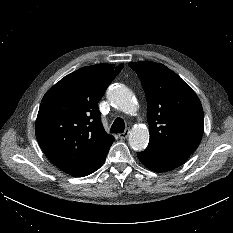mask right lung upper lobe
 <instances>
[{
    "instance_id": "1",
    "label": "right lung upper lobe",
    "mask_w": 233,
    "mask_h": 233,
    "mask_svg": "<svg viewBox=\"0 0 233 233\" xmlns=\"http://www.w3.org/2000/svg\"><path fill=\"white\" fill-rule=\"evenodd\" d=\"M123 64H96L65 76L44 95L36 119V138L47 158L75 174L107 152L114 137L106 134L98 102Z\"/></svg>"
}]
</instances>
